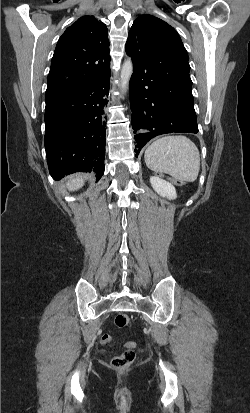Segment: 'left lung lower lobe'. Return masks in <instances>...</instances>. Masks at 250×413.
I'll list each match as a JSON object with an SVG mask.
<instances>
[{"instance_id":"obj_1","label":"left lung lower lobe","mask_w":250,"mask_h":413,"mask_svg":"<svg viewBox=\"0 0 250 413\" xmlns=\"http://www.w3.org/2000/svg\"><path fill=\"white\" fill-rule=\"evenodd\" d=\"M132 57L133 74L129 84L136 156L153 137L173 132L197 133L193 106L192 81L171 74L153 73L148 65V51L138 47L126 51Z\"/></svg>"}]
</instances>
